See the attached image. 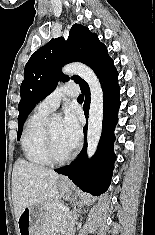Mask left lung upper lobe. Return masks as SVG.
Masks as SVG:
<instances>
[{
  "mask_svg": "<svg viewBox=\"0 0 155 235\" xmlns=\"http://www.w3.org/2000/svg\"><path fill=\"white\" fill-rule=\"evenodd\" d=\"M74 61L87 64L98 76L113 60L97 34L79 24L72 26L66 41L63 37L52 39L35 51L25 65V76L20 87L18 140L23 124L35 105L57 87L58 80H69V77L61 73V67ZM72 79L80 88L87 85L79 76H73Z\"/></svg>",
  "mask_w": 155,
  "mask_h": 235,
  "instance_id": "obj_1",
  "label": "left lung upper lobe"
}]
</instances>
